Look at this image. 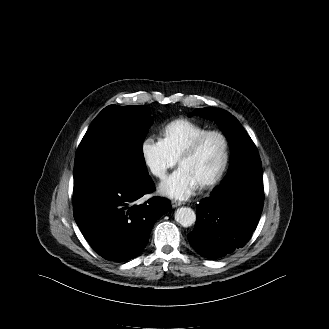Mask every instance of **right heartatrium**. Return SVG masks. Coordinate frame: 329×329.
Segmentation results:
<instances>
[{
	"mask_svg": "<svg viewBox=\"0 0 329 329\" xmlns=\"http://www.w3.org/2000/svg\"><path fill=\"white\" fill-rule=\"evenodd\" d=\"M141 154L150 172L160 179L164 178L177 162L161 139L146 137L141 143Z\"/></svg>",
	"mask_w": 329,
	"mask_h": 329,
	"instance_id": "right-heart-atrium-1",
	"label": "right heart atrium"
}]
</instances>
